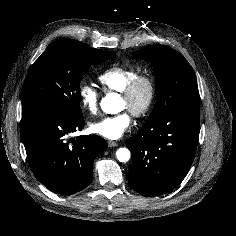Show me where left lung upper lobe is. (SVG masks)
I'll return each mask as SVG.
<instances>
[{
  "label": "left lung upper lobe",
  "instance_id": "left-lung-upper-lobe-1",
  "mask_svg": "<svg viewBox=\"0 0 236 236\" xmlns=\"http://www.w3.org/2000/svg\"><path fill=\"white\" fill-rule=\"evenodd\" d=\"M135 58L150 61L156 76L157 103L145 124L154 123L175 111H200L194 71L180 53L168 46L154 45L135 51Z\"/></svg>",
  "mask_w": 236,
  "mask_h": 236
}]
</instances>
